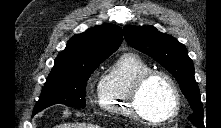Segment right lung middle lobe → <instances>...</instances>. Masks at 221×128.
Returning <instances> with one entry per match:
<instances>
[{
    "label": "right lung middle lobe",
    "mask_w": 221,
    "mask_h": 128,
    "mask_svg": "<svg viewBox=\"0 0 221 128\" xmlns=\"http://www.w3.org/2000/svg\"><path fill=\"white\" fill-rule=\"evenodd\" d=\"M105 59L107 58L69 69L51 71L32 116L54 104L84 108L87 80Z\"/></svg>",
    "instance_id": "dd1d6c3e"
}]
</instances>
